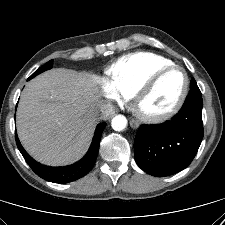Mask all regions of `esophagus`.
<instances>
[{
  "label": "esophagus",
  "mask_w": 225,
  "mask_h": 225,
  "mask_svg": "<svg viewBox=\"0 0 225 225\" xmlns=\"http://www.w3.org/2000/svg\"><path fill=\"white\" fill-rule=\"evenodd\" d=\"M130 125L134 129H137L139 127V123L136 120H134V119L130 120Z\"/></svg>",
  "instance_id": "34e87169"
}]
</instances>
